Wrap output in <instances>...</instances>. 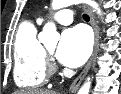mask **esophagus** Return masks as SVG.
<instances>
[{"instance_id": "obj_1", "label": "esophagus", "mask_w": 121, "mask_h": 94, "mask_svg": "<svg viewBox=\"0 0 121 94\" xmlns=\"http://www.w3.org/2000/svg\"><path fill=\"white\" fill-rule=\"evenodd\" d=\"M84 9L86 10V12L88 13L89 17H90V23H91V26L94 30V34H95V43H94V50H93V53L89 59V61L87 62L85 68L83 69V71L80 73V75L73 81V83L70 85L69 87V92L71 93H74L77 91L78 87L80 86L82 80L84 79V77L86 76L91 64H92V61L95 57V54H96V51H97V47H98V44H99V30H98V27L95 23V18H94V14L92 13L91 9L87 6V5H84Z\"/></svg>"}]
</instances>
